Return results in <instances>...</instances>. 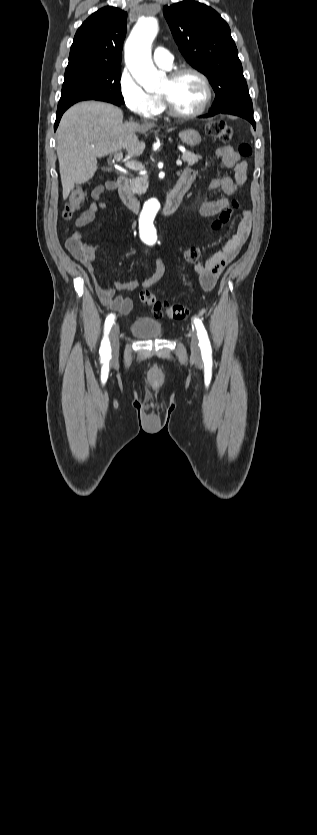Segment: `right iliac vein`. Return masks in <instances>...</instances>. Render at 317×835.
I'll list each match as a JSON object with an SVG mask.
<instances>
[{
  "label": "right iliac vein",
  "mask_w": 317,
  "mask_h": 835,
  "mask_svg": "<svg viewBox=\"0 0 317 835\" xmlns=\"http://www.w3.org/2000/svg\"><path fill=\"white\" fill-rule=\"evenodd\" d=\"M110 342L113 355H116L119 350V326L115 324L111 329Z\"/></svg>",
  "instance_id": "right-iliac-vein-1"
}]
</instances>
